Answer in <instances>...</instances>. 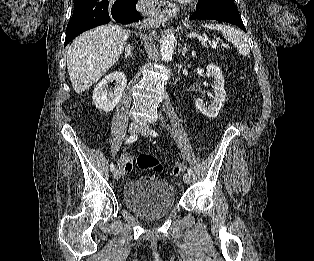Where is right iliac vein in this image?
Returning <instances> with one entry per match:
<instances>
[{
    "label": "right iliac vein",
    "instance_id": "obj_1",
    "mask_svg": "<svg viewBox=\"0 0 314 261\" xmlns=\"http://www.w3.org/2000/svg\"><path fill=\"white\" fill-rule=\"evenodd\" d=\"M139 129V125L138 123L136 122H132L130 125H129V128H128V132L130 134H135ZM113 177L115 180H119L120 177H121V172L118 168H116L114 171H113Z\"/></svg>",
    "mask_w": 314,
    "mask_h": 261
}]
</instances>
